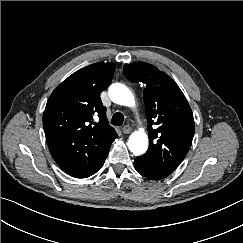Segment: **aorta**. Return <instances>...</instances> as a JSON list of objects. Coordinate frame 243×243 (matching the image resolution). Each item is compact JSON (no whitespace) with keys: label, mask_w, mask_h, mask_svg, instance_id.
Here are the masks:
<instances>
[{"label":"aorta","mask_w":243,"mask_h":243,"mask_svg":"<svg viewBox=\"0 0 243 243\" xmlns=\"http://www.w3.org/2000/svg\"><path fill=\"white\" fill-rule=\"evenodd\" d=\"M110 99L120 105L134 106L135 99L130 89L122 83H114L108 90ZM129 150L136 156L146 152L148 137L143 130L133 132L128 140Z\"/></svg>","instance_id":"aorta-1"}]
</instances>
